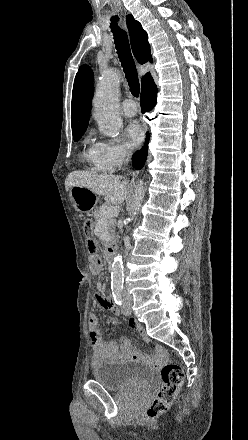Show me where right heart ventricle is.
<instances>
[{
    "label": "right heart ventricle",
    "mask_w": 248,
    "mask_h": 440,
    "mask_svg": "<svg viewBox=\"0 0 248 440\" xmlns=\"http://www.w3.org/2000/svg\"><path fill=\"white\" fill-rule=\"evenodd\" d=\"M98 143L90 138L85 139L84 149L82 151V160L86 167L93 172H106L108 169L103 165L100 159Z\"/></svg>",
    "instance_id": "e07e8e85"
}]
</instances>
